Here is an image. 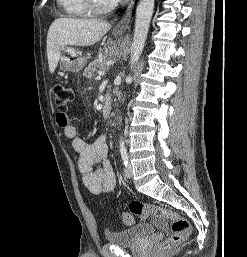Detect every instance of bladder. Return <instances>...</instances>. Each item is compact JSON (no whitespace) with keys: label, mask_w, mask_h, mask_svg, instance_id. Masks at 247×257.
I'll return each mask as SVG.
<instances>
[{"label":"bladder","mask_w":247,"mask_h":257,"mask_svg":"<svg viewBox=\"0 0 247 257\" xmlns=\"http://www.w3.org/2000/svg\"><path fill=\"white\" fill-rule=\"evenodd\" d=\"M155 232V228L148 223H140L133 227L105 232L107 242L119 246H134L142 242Z\"/></svg>","instance_id":"bladder-1"}]
</instances>
